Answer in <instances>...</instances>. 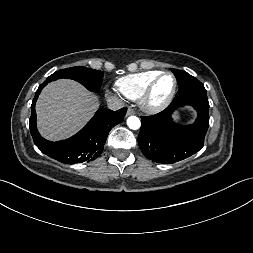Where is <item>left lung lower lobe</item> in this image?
I'll use <instances>...</instances> for the list:
<instances>
[{
    "label": "left lung lower lobe",
    "instance_id": "left-lung-lower-lobe-1",
    "mask_svg": "<svg viewBox=\"0 0 253 253\" xmlns=\"http://www.w3.org/2000/svg\"><path fill=\"white\" fill-rule=\"evenodd\" d=\"M183 105L193 106L197 119L192 125L173 122L172 112ZM209 102L204 85L197 79L179 88L172 103L162 112L141 117L138 144L142 153L154 162L172 164L198 152L209 127Z\"/></svg>",
    "mask_w": 253,
    "mask_h": 253
}]
</instances>
